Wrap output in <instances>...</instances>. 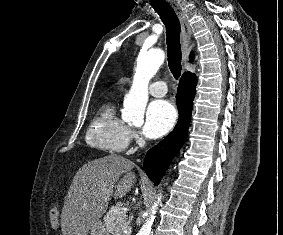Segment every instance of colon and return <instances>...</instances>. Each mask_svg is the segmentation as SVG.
<instances>
[{"mask_svg":"<svg viewBox=\"0 0 283 235\" xmlns=\"http://www.w3.org/2000/svg\"><path fill=\"white\" fill-rule=\"evenodd\" d=\"M58 215H59L58 208L56 206H54L50 211V218L53 221H56L58 219Z\"/></svg>","mask_w":283,"mask_h":235,"instance_id":"colon-1","label":"colon"}]
</instances>
